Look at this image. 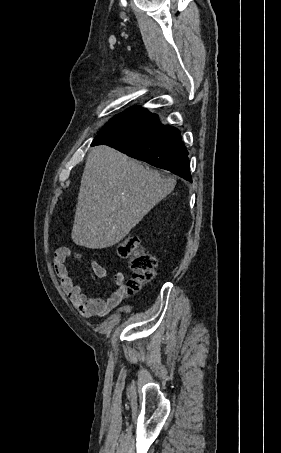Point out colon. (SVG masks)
Returning a JSON list of instances; mask_svg holds the SVG:
<instances>
[{
	"mask_svg": "<svg viewBox=\"0 0 281 453\" xmlns=\"http://www.w3.org/2000/svg\"><path fill=\"white\" fill-rule=\"evenodd\" d=\"M109 248L128 264L131 278L127 286L130 291L139 289L154 279L157 259L143 249L138 238H126L113 243Z\"/></svg>",
	"mask_w": 281,
	"mask_h": 453,
	"instance_id": "colon-1",
	"label": "colon"
}]
</instances>
